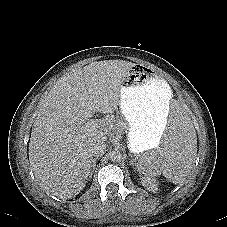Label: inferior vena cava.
<instances>
[{
    "instance_id": "obj_1",
    "label": "inferior vena cava",
    "mask_w": 227,
    "mask_h": 227,
    "mask_svg": "<svg viewBox=\"0 0 227 227\" xmlns=\"http://www.w3.org/2000/svg\"><path fill=\"white\" fill-rule=\"evenodd\" d=\"M106 151V143L104 141H99L95 143L92 147V154L94 157H101Z\"/></svg>"
}]
</instances>
